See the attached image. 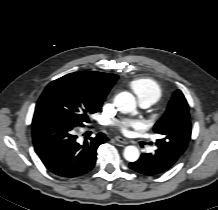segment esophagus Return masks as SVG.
<instances>
[{"label":"esophagus","instance_id":"obj_1","mask_svg":"<svg viewBox=\"0 0 218 210\" xmlns=\"http://www.w3.org/2000/svg\"><path fill=\"white\" fill-rule=\"evenodd\" d=\"M115 140H116L117 142H119V143H122V144H128V143H129L125 138H123V137H121V136H116V137H115Z\"/></svg>","mask_w":218,"mask_h":210}]
</instances>
